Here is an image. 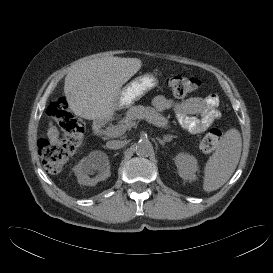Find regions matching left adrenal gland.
Instances as JSON below:
<instances>
[{
	"label": "left adrenal gland",
	"instance_id": "obj_1",
	"mask_svg": "<svg viewBox=\"0 0 273 273\" xmlns=\"http://www.w3.org/2000/svg\"><path fill=\"white\" fill-rule=\"evenodd\" d=\"M173 138H175V136L165 135L163 139L158 138L157 140L162 146H164L166 142H170Z\"/></svg>",
	"mask_w": 273,
	"mask_h": 273
}]
</instances>
